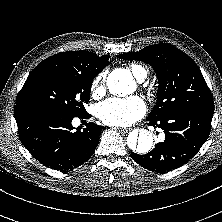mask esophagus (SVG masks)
<instances>
[{"mask_svg":"<svg viewBox=\"0 0 222 222\" xmlns=\"http://www.w3.org/2000/svg\"><path fill=\"white\" fill-rule=\"evenodd\" d=\"M119 130H120L122 133H127V132L130 131L129 128H120Z\"/></svg>","mask_w":222,"mask_h":222,"instance_id":"esophagus-1","label":"esophagus"}]
</instances>
